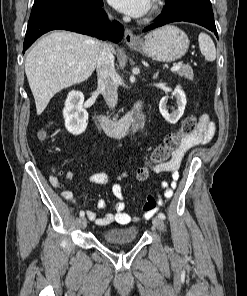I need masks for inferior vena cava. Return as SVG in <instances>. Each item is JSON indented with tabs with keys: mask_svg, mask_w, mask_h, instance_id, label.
Wrapping results in <instances>:
<instances>
[{
	"mask_svg": "<svg viewBox=\"0 0 247 296\" xmlns=\"http://www.w3.org/2000/svg\"><path fill=\"white\" fill-rule=\"evenodd\" d=\"M98 87L110 109L118 102L117 73L114 66L112 45L102 43L97 60Z\"/></svg>",
	"mask_w": 247,
	"mask_h": 296,
	"instance_id": "obj_1",
	"label": "inferior vena cava"
}]
</instances>
